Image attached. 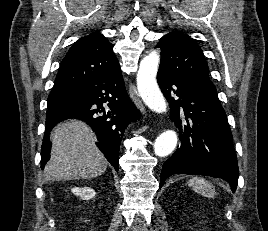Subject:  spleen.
I'll list each match as a JSON object with an SVG mask.
<instances>
[{"label":"spleen","mask_w":268,"mask_h":231,"mask_svg":"<svg viewBox=\"0 0 268 231\" xmlns=\"http://www.w3.org/2000/svg\"><path fill=\"white\" fill-rule=\"evenodd\" d=\"M188 185L199 194L208 198H213L216 194L213 185L201 177H193L188 181Z\"/></svg>","instance_id":"1"}]
</instances>
